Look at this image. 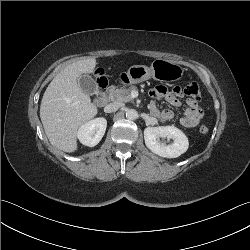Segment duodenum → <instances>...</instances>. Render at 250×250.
I'll use <instances>...</instances> for the list:
<instances>
[{
	"mask_svg": "<svg viewBox=\"0 0 250 250\" xmlns=\"http://www.w3.org/2000/svg\"><path fill=\"white\" fill-rule=\"evenodd\" d=\"M112 90H113V86H110L106 91L101 93L97 97V103L100 104V105L106 104L110 99V93H111Z\"/></svg>",
	"mask_w": 250,
	"mask_h": 250,
	"instance_id": "duodenum-1",
	"label": "duodenum"
}]
</instances>
